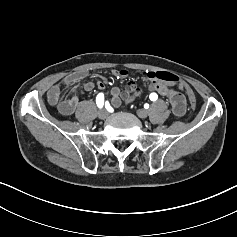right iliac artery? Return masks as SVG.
<instances>
[{"mask_svg":"<svg viewBox=\"0 0 237 237\" xmlns=\"http://www.w3.org/2000/svg\"><path fill=\"white\" fill-rule=\"evenodd\" d=\"M96 104L99 108H103L104 105V94L99 93L96 97Z\"/></svg>","mask_w":237,"mask_h":237,"instance_id":"right-iliac-artery-1","label":"right iliac artery"}]
</instances>
